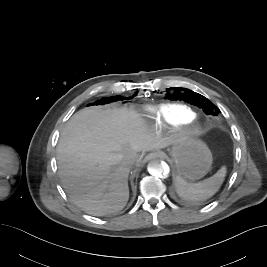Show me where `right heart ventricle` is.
Masks as SVG:
<instances>
[{
    "mask_svg": "<svg viewBox=\"0 0 267 267\" xmlns=\"http://www.w3.org/2000/svg\"><path fill=\"white\" fill-rule=\"evenodd\" d=\"M143 114L151 118L156 125H184L188 120L195 118L194 111L180 103L155 105L146 109Z\"/></svg>",
    "mask_w": 267,
    "mask_h": 267,
    "instance_id": "obj_1",
    "label": "right heart ventricle"
}]
</instances>
